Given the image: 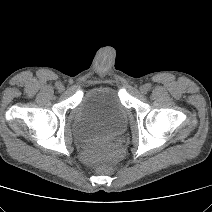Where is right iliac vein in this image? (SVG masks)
I'll list each match as a JSON object with an SVG mask.
<instances>
[{
    "mask_svg": "<svg viewBox=\"0 0 212 212\" xmlns=\"http://www.w3.org/2000/svg\"><path fill=\"white\" fill-rule=\"evenodd\" d=\"M59 92H63L64 91V86L62 84L59 85L58 87Z\"/></svg>",
    "mask_w": 212,
    "mask_h": 212,
    "instance_id": "right-iliac-vein-1",
    "label": "right iliac vein"
}]
</instances>
